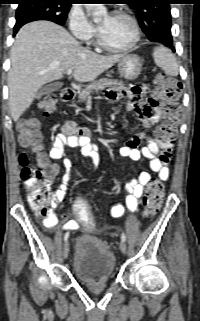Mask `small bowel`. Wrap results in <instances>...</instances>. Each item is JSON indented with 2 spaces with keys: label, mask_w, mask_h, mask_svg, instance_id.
Returning <instances> with one entry per match:
<instances>
[{
  "label": "small bowel",
  "mask_w": 200,
  "mask_h": 321,
  "mask_svg": "<svg viewBox=\"0 0 200 321\" xmlns=\"http://www.w3.org/2000/svg\"><path fill=\"white\" fill-rule=\"evenodd\" d=\"M148 91L142 88L141 82H134L133 86H128L127 89L116 88L107 92L106 96L111 100H118L128 98V107L133 110L142 125L145 128L144 132L138 133L131 137L126 144L120 148L121 156L127 157L133 161H139L142 158L150 160V169L159 175L162 181L169 177V168L167 163L170 159L164 157V151L161 147L164 146L157 138H152L147 135L146 130L158 123L165 115L164 106L159 101L147 97ZM92 134L87 128H76L74 123H69L62 133L55 136L52 147L49 153L42 154L47 161H61V184L52 192L48 199L51 209H56L62 202L66 190L71 181V162L64 156L63 148L79 147L82 154L85 156H93L96 153V148L91 144ZM144 143L143 147L140 144ZM41 146H39V150ZM52 174L48 177V183H51L60 172V167L56 164L51 165ZM152 181L150 173L142 171L135 178H132L125 186L127 193L126 204H116L111 207L110 214L114 218L124 215L126 211L134 212L138 207L139 199L141 198L144 188ZM66 221L63 229H76L78 223L75 220H69V215H63ZM58 224V218L50 212L48 216L43 219V225L48 230H53Z\"/></svg>",
  "instance_id": "c3829d8e"
}]
</instances>
